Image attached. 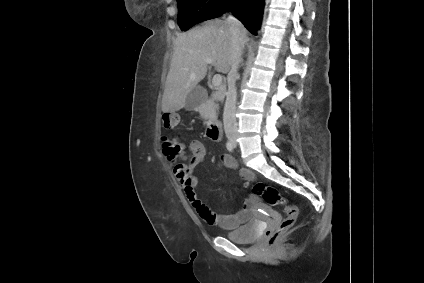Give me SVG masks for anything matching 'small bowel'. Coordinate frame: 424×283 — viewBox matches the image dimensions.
I'll use <instances>...</instances> for the list:
<instances>
[{"mask_svg":"<svg viewBox=\"0 0 424 283\" xmlns=\"http://www.w3.org/2000/svg\"><path fill=\"white\" fill-rule=\"evenodd\" d=\"M188 150L189 157L187 158V163L174 166L173 173L178 182L182 185L187 200L191 203L199 216L208 224L219 226L224 229H233L244 223L254 206V199H247L243 209L237 214L222 215L212 212L199 198L197 193L198 177L196 174V167L204 162L206 148L200 140H191L188 142ZM220 159L224 166L238 169V165L232 156L222 154ZM238 172L239 175L247 181H253L255 179V174L249 169L240 168Z\"/></svg>","mask_w":424,"mask_h":283,"instance_id":"c3829d8e","label":"small bowel"}]
</instances>
